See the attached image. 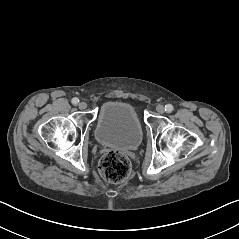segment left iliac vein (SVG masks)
<instances>
[{
	"label": "left iliac vein",
	"mask_w": 239,
	"mask_h": 239,
	"mask_svg": "<svg viewBox=\"0 0 239 239\" xmlns=\"http://www.w3.org/2000/svg\"><path fill=\"white\" fill-rule=\"evenodd\" d=\"M156 111L159 113V114H163L165 112V108L163 105L159 104L157 105L156 107Z\"/></svg>",
	"instance_id": "obj_1"
}]
</instances>
